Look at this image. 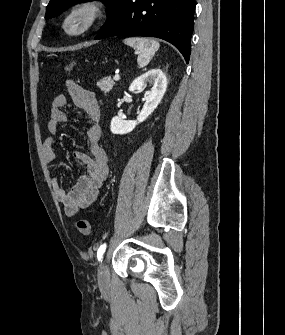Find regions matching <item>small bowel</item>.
Instances as JSON below:
<instances>
[{
    "mask_svg": "<svg viewBox=\"0 0 285 335\" xmlns=\"http://www.w3.org/2000/svg\"><path fill=\"white\" fill-rule=\"evenodd\" d=\"M66 85L73 104L83 110L89 118L85 136L89 143L90 155L82 152L74 155L84 169L83 174L70 190L63 188L57 177L52 178L56 198L64 205L65 214L73 217L81 210L88 208L98 198L99 191L109 174V159L99 144L101 138L100 107L94 93L72 80H68ZM67 104L68 101L64 94L55 96L51 104L50 118L47 123V130L51 136L43 142V155L48 163H53L56 158L53 136L58 133L61 125L69 122V117L65 112Z\"/></svg>",
    "mask_w": 285,
    "mask_h": 335,
    "instance_id": "1",
    "label": "small bowel"
}]
</instances>
